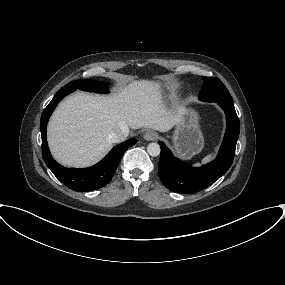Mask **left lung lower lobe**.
Listing matches in <instances>:
<instances>
[{"mask_svg": "<svg viewBox=\"0 0 285 285\" xmlns=\"http://www.w3.org/2000/svg\"><path fill=\"white\" fill-rule=\"evenodd\" d=\"M225 111L227 129L219 153L214 161L199 168H193L176 159L163 142L158 172L162 183L177 193L202 191L212 185L230 168L235 155L240 131V122L234 105L218 103Z\"/></svg>", "mask_w": 285, "mask_h": 285, "instance_id": "1", "label": "left lung lower lobe"}]
</instances>
